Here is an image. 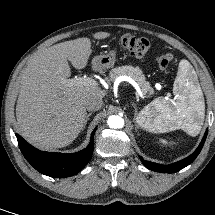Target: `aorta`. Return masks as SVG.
Wrapping results in <instances>:
<instances>
[{"instance_id": "762f6f07", "label": "aorta", "mask_w": 215, "mask_h": 215, "mask_svg": "<svg viewBox=\"0 0 215 215\" xmlns=\"http://www.w3.org/2000/svg\"><path fill=\"white\" fill-rule=\"evenodd\" d=\"M110 128L119 129L124 126V119L118 115H112L107 121Z\"/></svg>"}]
</instances>
